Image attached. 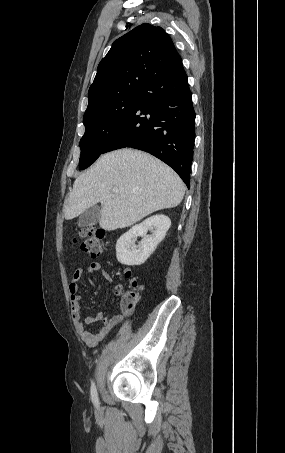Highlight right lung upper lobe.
<instances>
[{"mask_svg":"<svg viewBox=\"0 0 285 453\" xmlns=\"http://www.w3.org/2000/svg\"><path fill=\"white\" fill-rule=\"evenodd\" d=\"M181 63L174 43L161 27L141 24L117 39L99 63L88 91L87 110L109 99L141 92L152 79Z\"/></svg>","mask_w":285,"mask_h":453,"instance_id":"right-lung-upper-lobe-1","label":"right lung upper lobe"}]
</instances>
